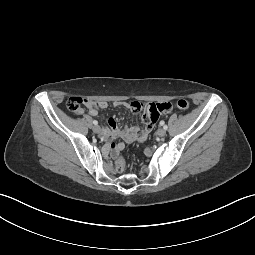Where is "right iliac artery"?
<instances>
[{
  "label": "right iliac artery",
  "instance_id": "82829eb1",
  "mask_svg": "<svg viewBox=\"0 0 255 255\" xmlns=\"http://www.w3.org/2000/svg\"><path fill=\"white\" fill-rule=\"evenodd\" d=\"M94 125H98V122L96 120L93 121Z\"/></svg>",
  "mask_w": 255,
  "mask_h": 255
}]
</instances>
